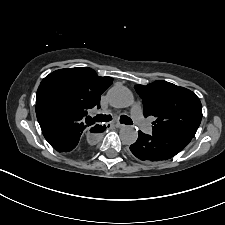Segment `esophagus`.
<instances>
[{
    "label": "esophagus",
    "mask_w": 225,
    "mask_h": 225,
    "mask_svg": "<svg viewBox=\"0 0 225 225\" xmlns=\"http://www.w3.org/2000/svg\"><path fill=\"white\" fill-rule=\"evenodd\" d=\"M110 126L116 127V128H121V127H123L124 125H123V124H120V123H111Z\"/></svg>",
    "instance_id": "34e87169"
}]
</instances>
